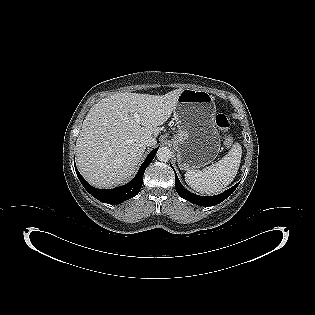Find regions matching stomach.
Segmentation results:
<instances>
[{"mask_svg":"<svg viewBox=\"0 0 315 315\" xmlns=\"http://www.w3.org/2000/svg\"><path fill=\"white\" fill-rule=\"evenodd\" d=\"M214 97L204 90L184 89L178 96L174 118L178 133L172 139L182 170L204 167L220 152V134L215 125Z\"/></svg>","mask_w":315,"mask_h":315,"instance_id":"stomach-1","label":"stomach"}]
</instances>
